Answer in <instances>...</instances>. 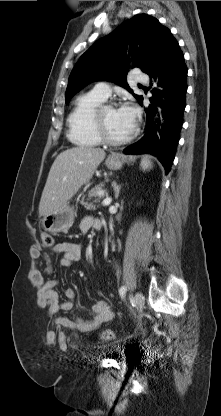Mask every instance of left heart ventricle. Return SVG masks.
<instances>
[{
  "label": "left heart ventricle",
  "mask_w": 221,
  "mask_h": 416,
  "mask_svg": "<svg viewBox=\"0 0 221 416\" xmlns=\"http://www.w3.org/2000/svg\"><path fill=\"white\" fill-rule=\"evenodd\" d=\"M103 118L107 131L112 138L121 140L131 134L132 131L120 115L119 109H106L103 113Z\"/></svg>",
  "instance_id": "1"
}]
</instances>
